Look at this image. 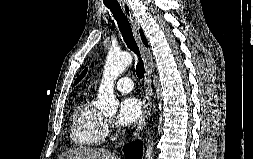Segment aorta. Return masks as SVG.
Returning a JSON list of instances; mask_svg holds the SVG:
<instances>
[{"mask_svg": "<svg viewBox=\"0 0 253 159\" xmlns=\"http://www.w3.org/2000/svg\"><path fill=\"white\" fill-rule=\"evenodd\" d=\"M128 52L110 51L104 66L102 82L99 86L95 106L104 113L115 114L118 100L114 94V82L120 74L132 63ZM150 144L146 151V159H152L153 147Z\"/></svg>", "mask_w": 253, "mask_h": 159, "instance_id": "1", "label": "aorta"}]
</instances>
